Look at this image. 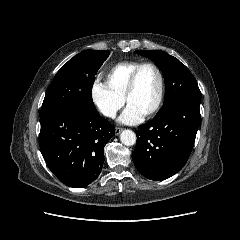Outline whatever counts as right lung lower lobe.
Instances as JSON below:
<instances>
[{
    "label": "right lung lower lobe",
    "instance_id": "obj_1",
    "mask_svg": "<svg viewBox=\"0 0 240 240\" xmlns=\"http://www.w3.org/2000/svg\"><path fill=\"white\" fill-rule=\"evenodd\" d=\"M40 149L52 173L70 187H86L102 170L104 146L115 128L99 113L58 109L40 116Z\"/></svg>",
    "mask_w": 240,
    "mask_h": 240
}]
</instances>
